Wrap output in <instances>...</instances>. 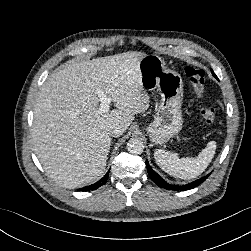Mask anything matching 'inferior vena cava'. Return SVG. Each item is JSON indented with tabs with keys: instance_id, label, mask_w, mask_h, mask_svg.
I'll list each match as a JSON object with an SVG mask.
<instances>
[{
	"instance_id": "1",
	"label": "inferior vena cava",
	"mask_w": 251,
	"mask_h": 251,
	"mask_svg": "<svg viewBox=\"0 0 251 251\" xmlns=\"http://www.w3.org/2000/svg\"><path fill=\"white\" fill-rule=\"evenodd\" d=\"M123 129L120 126H113L109 130V134L113 137L122 135Z\"/></svg>"
}]
</instances>
